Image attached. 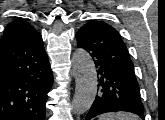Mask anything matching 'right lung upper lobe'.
I'll return each instance as SVG.
<instances>
[{
	"label": "right lung upper lobe",
	"mask_w": 165,
	"mask_h": 120,
	"mask_svg": "<svg viewBox=\"0 0 165 120\" xmlns=\"http://www.w3.org/2000/svg\"><path fill=\"white\" fill-rule=\"evenodd\" d=\"M37 31L23 20H15L7 25L0 41V47L9 45L26 37L32 36Z\"/></svg>",
	"instance_id": "obj_1"
}]
</instances>
